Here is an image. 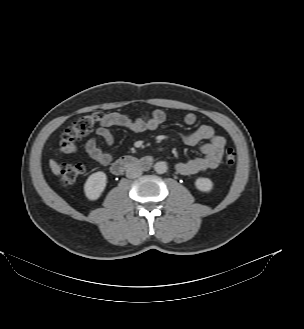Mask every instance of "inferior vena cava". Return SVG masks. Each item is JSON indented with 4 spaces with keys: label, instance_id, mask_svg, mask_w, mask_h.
I'll use <instances>...</instances> for the list:
<instances>
[{
    "label": "inferior vena cava",
    "instance_id": "obj_1",
    "mask_svg": "<svg viewBox=\"0 0 304 329\" xmlns=\"http://www.w3.org/2000/svg\"><path fill=\"white\" fill-rule=\"evenodd\" d=\"M142 174V169L137 165H132L127 168L126 176L129 179H134L139 177Z\"/></svg>",
    "mask_w": 304,
    "mask_h": 329
}]
</instances>
